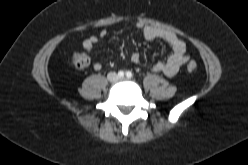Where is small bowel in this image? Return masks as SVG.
<instances>
[{
  "instance_id": "1",
  "label": "small bowel",
  "mask_w": 248,
  "mask_h": 165,
  "mask_svg": "<svg viewBox=\"0 0 248 165\" xmlns=\"http://www.w3.org/2000/svg\"><path fill=\"white\" fill-rule=\"evenodd\" d=\"M137 28L143 33V36L147 40L160 39L165 41L172 48V53L164 61H157L152 65L154 72H161L168 77L175 76L179 69L189 61V56L186 53V45L183 39L176 33L163 30L152 25H146L142 23L137 24ZM108 31L103 29L98 35H92L86 38L82 42V47L86 52H92L95 45L100 39L107 37ZM130 60L134 64H140L142 59L139 53L133 52L130 56ZM92 67L95 70L102 69V63L98 61L92 62Z\"/></svg>"
}]
</instances>
